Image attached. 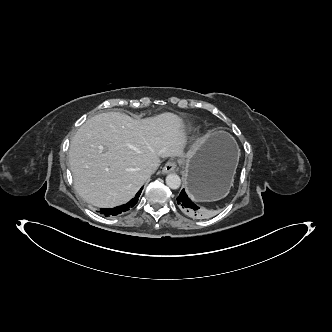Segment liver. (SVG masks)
Returning a JSON list of instances; mask_svg holds the SVG:
<instances>
[{"label":"liver","mask_w":332,"mask_h":332,"mask_svg":"<svg viewBox=\"0 0 332 332\" xmlns=\"http://www.w3.org/2000/svg\"><path fill=\"white\" fill-rule=\"evenodd\" d=\"M184 153L186 135L182 119L170 112L136 121L119 112L88 119L69 148L74 187L97 207L125 204L149 178L147 168L161 158H190L199 146Z\"/></svg>","instance_id":"6515ba94"}]
</instances>
